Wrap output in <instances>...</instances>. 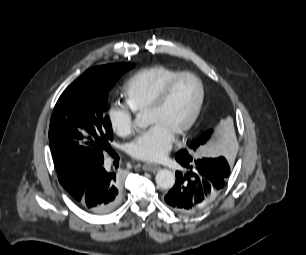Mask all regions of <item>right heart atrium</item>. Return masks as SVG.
<instances>
[{
    "instance_id": "d8ad5b80",
    "label": "right heart atrium",
    "mask_w": 306,
    "mask_h": 255,
    "mask_svg": "<svg viewBox=\"0 0 306 255\" xmlns=\"http://www.w3.org/2000/svg\"><path fill=\"white\" fill-rule=\"evenodd\" d=\"M112 131L121 137L131 135L135 130L134 111L124 104L114 102L107 111Z\"/></svg>"
}]
</instances>
